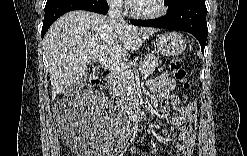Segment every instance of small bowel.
<instances>
[{
    "instance_id": "small-bowel-1",
    "label": "small bowel",
    "mask_w": 247,
    "mask_h": 156,
    "mask_svg": "<svg viewBox=\"0 0 247 156\" xmlns=\"http://www.w3.org/2000/svg\"><path fill=\"white\" fill-rule=\"evenodd\" d=\"M177 84L170 76L161 74L147 87V95L166 101L175 111L172 116L168 107L162 108L161 118L180 129L177 155H191L195 143L196 104L183 100L175 92ZM161 134H166L164 129Z\"/></svg>"
}]
</instances>
